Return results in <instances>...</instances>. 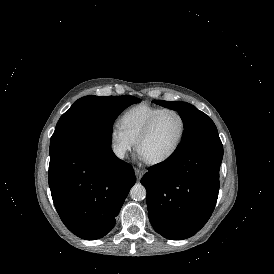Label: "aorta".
I'll list each match as a JSON object with an SVG mask.
<instances>
[{
  "label": "aorta",
  "instance_id": "1",
  "mask_svg": "<svg viewBox=\"0 0 274 274\" xmlns=\"http://www.w3.org/2000/svg\"><path fill=\"white\" fill-rule=\"evenodd\" d=\"M130 197L133 200H143L146 197V189L142 184H135L130 190Z\"/></svg>",
  "mask_w": 274,
  "mask_h": 274
}]
</instances>
